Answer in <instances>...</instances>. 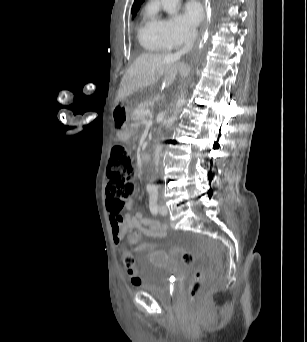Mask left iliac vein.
I'll return each mask as SVG.
<instances>
[{"mask_svg": "<svg viewBox=\"0 0 307 342\" xmlns=\"http://www.w3.org/2000/svg\"><path fill=\"white\" fill-rule=\"evenodd\" d=\"M159 212L162 215H166L168 213V209H167L166 205H164L163 203H160Z\"/></svg>", "mask_w": 307, "mask_h": 342, "instance_id": "left-iliac-vein-1", "label": "left iliac vein"}]
</instances>
